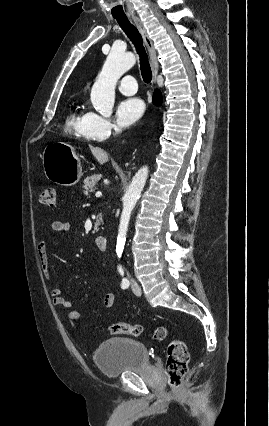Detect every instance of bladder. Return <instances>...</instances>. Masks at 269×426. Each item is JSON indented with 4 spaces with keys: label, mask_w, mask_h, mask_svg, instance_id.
<instances>
[{
    "label": "bladder",
    "mask_w": 269,
    "mask_h": 426,
    "mask_svg": "<svg viewBox=\"0 0 269 426\" xmlns=\"http://www.w3.org/2000/svg\"><path fill=\"white\" fill-rule=\"evenodd\" d=\"M93 362L108 377L133 372L149 366L146 347L139 341L112 337L102 342L93 353Z\"/></svg>",
    "instance_id": "31cf9c89"
}]
</instances>
